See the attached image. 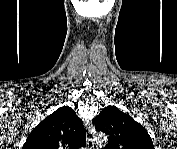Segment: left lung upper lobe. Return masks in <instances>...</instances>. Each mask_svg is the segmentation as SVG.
Here are the masks:
<instances>
[{
  "label": "left lung upper lobe",
  "instance_id": "1",
  "mask_svg": "<svg viewBox=\"0 0 177 149\" xmlns=\"http://www.w3.org/2000/svg\"><path fill=\"white\" fill-rule=\"evenodd\" d=\"M97 131L109 135L107 149H154L147 130L115 106H107L93 119Z\"/></svg>",
  "mask_w": 177,
  "mask_h": 149
}]
</instances>
